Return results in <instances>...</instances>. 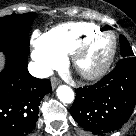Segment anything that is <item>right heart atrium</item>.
<instances>
[{"label": "right heart atrium", "instance_id": "d8ad5b80", "mask_svg": "<svg viewBox=\"0 0 136 136\" xmlns=\"http://www.w3.org/2000/svg\"><path fill=\"white\" fill-rule=\"evenodd\" d=\"M31 42L33 46L32 58L40 73L46 74L52 68L62 64L63 56L45 42L43 34L34 32Z\"/></svg>", "mask_w": 136, "mask_h": 136}]
</instances>
